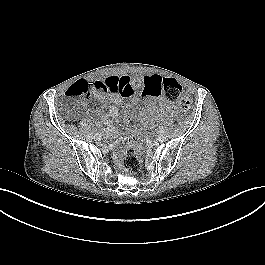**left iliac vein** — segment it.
I'll list each match as a JSON object with an SVG mask.
<instances>
[{"label": "left iliac vein", "mask_w": 265, "mask_h": 265, "mask_svg": "<svg viewBox=\"0 0 265 265\" xmlns=\"http://www.w3.org/2000/svg\"><path fill=\"white\" fill-rule=\"evenodd\" d=\"M166 138H167V135L165 133L160 132L156 139L159 142H164L166 140Z\"/></svg>", "instance_id": "4c4485c4"}]
</instances>
